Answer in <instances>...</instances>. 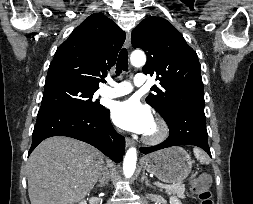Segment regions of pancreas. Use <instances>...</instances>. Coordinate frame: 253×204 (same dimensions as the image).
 Segmentation results:
<instances>
[{"instance_id":"cf45deb5","label":"pancreas","mask_w":253,"mask_h":204,"mask_svg":"<svg viewBox=\"0 0 253 204\" xmlns=\"http://www.w3.org/2000/svg\"><path fill=\"white\" fill-rule=\"evenodd\" d=\"M165 192L168 195H172L173 197H178L181 199L185 198V186L184 185H179L176 188L165 189Z\"/></svg>"}]
</instances>
